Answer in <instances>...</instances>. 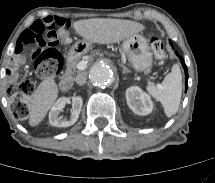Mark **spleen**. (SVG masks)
I'll use <instances>...</instances> for the list:
<instances>
[{
	"mask_svg": "<svg viewBox=\"0 0 215 183\" xmlns=\"http://www.w3.org/2000/svg\"><path fill=\"white\" fill-rule=\"evenodd\" d=\"M148 93L161 102L167 117L174 115L179 108L182 95V75L178 64H174L161 85L147 86Z\"/></svg>",
	"mask_w": 215,
	"mask_h": 183,
	"instance_id": "spleen-1",
	"label": "spleen"
}]
</instances>
